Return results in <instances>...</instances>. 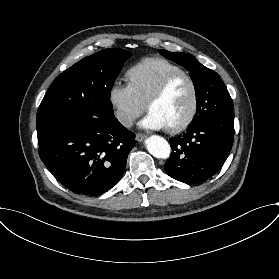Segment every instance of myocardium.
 I'll list each match as a JSON object with an SVG mask.
<instances>
[{
	"mask_svg": "<svg viewBox=\"0 0 279 279\" xmlns=\"http://www.w3.org/2000/svg\"><path fill=\"white\" fill-rule=\"evenodd\" d=\"M183 77L190 82L193 89L192 106L187 117L180 124L167 127V130L170 133H179L186 130L192 124V122L194 121L198 113L200 94H199L198 84L194 79V77L189 72L186 71H179L170 74L160 83V85L153 91V93L150 95V97L147 100V109L148 111H150L151 105L157 100H159L161 97H163L166 94V92L170 89V87L176 81H178L180 78Z\"/></svg>",
	"mask_w": 279,
	"mask_h": 279,
	"instance_id": "obj_1",
	"label": "myocardium"
}]
</instances>
